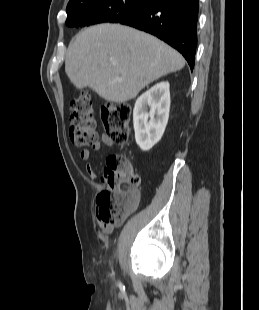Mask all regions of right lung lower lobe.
Returning a JSON list of instances; mask_svg holds the SVG:
<instances>
[{
	"mask_svg": "<svg viewBox=\"0 0 259 310\" xmlns=\"http://www.w3.org/2000/svg\"><path fill=\"white\" fill-rule=\"evenodd\" d=\"M199 0H150L118 23L151 33L178 50L191 69L197 46Z\"/></svg>",
	"mask_w": 259,
	"mask_h": 310,
	"instance_id": "obj_1",
	"label": "right lung lower lobe"
}]
</instances>
